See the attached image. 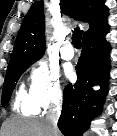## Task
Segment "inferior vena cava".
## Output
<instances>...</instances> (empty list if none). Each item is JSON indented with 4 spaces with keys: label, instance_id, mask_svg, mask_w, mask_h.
I'll use <instances>...</instances> for the list:
<instances>
[{
    "label": "inferior vena cava",
    "instance_id": "inferior-vena-cava-1",
    "mask_svg": "<svg viewBox=\"0 0 117 136\" xmlns=\"http://www.w3.org/2000/svg\"><path fill=\"white\" fill-rule=\"evenodd\" d=\"M61 114V102L59 100L55 101L47 112L46 120L50 130L51 136H56L58 131L57 123Z\"/></svg>",
    "mask_w": 117,
    "mask_h": 136
}]
</instances>
